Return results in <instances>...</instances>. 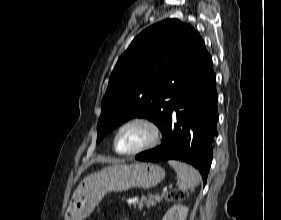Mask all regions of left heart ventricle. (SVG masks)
I'll list each match as a JSON object with an SVG mask.
<instances>
[{
    "label": "left heart ventricle",
    "mask_w": 281,
    "mask_h": 220,
    "mask_svg": "<svg viewBox=\"0 0 281 220\" xmlns=\"http://www.w3.org/2000/svg\"><path fill=\"white\" fill-rule=\"evenodd\" d=\"M151 138L150 130L142 124L126 127L119 135L117 147L122 152L136 150L145 145Z\"/></svg>",
    "instance_id": "obj_1"
}]
</instances>
